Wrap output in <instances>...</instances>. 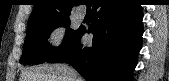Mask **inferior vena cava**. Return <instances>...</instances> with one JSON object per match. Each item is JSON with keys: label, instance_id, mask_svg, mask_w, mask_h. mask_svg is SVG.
Listing matches in <instances>:
<instances>
[{"label": "inferior vena cava", "instance_id": "602c4592", "mask_svg": "<svg viewBox=\"0 0 169 81\" xmlns=\"http://www.w3.org/2000/svg\"><path fill=\"white\" fill-rule=\"evenodd\" d=\"M72 76H73V78H76L77 76H78V73L74 70V69H72ZM73 81H77V79H72Z\"/></svg>", "mask_w": 169, "mask_h": 81}]
</instances>
